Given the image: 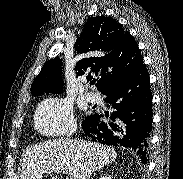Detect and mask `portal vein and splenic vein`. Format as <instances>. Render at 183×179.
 <instances>
[{"instance_id":"portal-vein-and-splenic-vein-1","label":"portal vein and splenic vein","mask_w":183,"mask_h":179,"mask_svg":"<svg viewBox=\"0 0 183 179\" xmlns=\"http://www.w3.org/2000/svg\"><path fill=\"white\" fill-rule=\"evenodd\" d=\"M51 172H46V174H50ZM58 173H60V172H58ZM67 179H69V178H67Z\"/></svg>"}]
</instances>
